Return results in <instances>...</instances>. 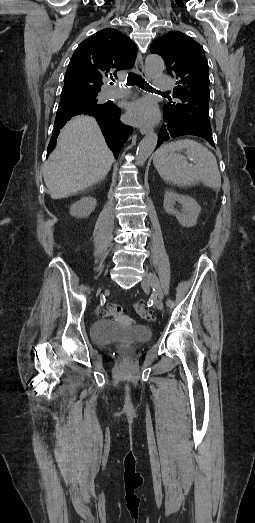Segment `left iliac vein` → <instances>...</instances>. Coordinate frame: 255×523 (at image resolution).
<instances>
[{
  "instance_id": "4c4485c4",
  "label": "left iliac vein",
  "mask_w": 255,
  "mask_h": 523,
  "mask_svg": "<svg viewBox=\"0 0 255 523\" xmlns=\"http://www.w3.org/2000/svg\"><path fill=\"white\" fill-rule=\"evenodd\" d=\"M150 280L153 284L157 285L160 288L158 278L156 277V275L148 273L147 277L141 283V286L145 292L150 291ZM153 300L157 309L162 310L164 308L163 302L160 298H158L157 296H153Z\"/></svg>"
}]
</instances>
